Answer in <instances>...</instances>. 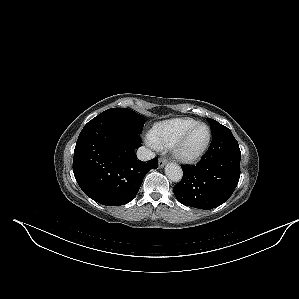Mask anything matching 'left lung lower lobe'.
<instances>
[{"mask_svg":"<svg viewBox=\"0 0 299 299\" xmlns=\"http://www.w3.org/2000/svg\"><path fill=\"white\" fill-rule=\"evenodd\" d=\"M210 148L196 166H182L183 178L173 191L185 206L210 210L226 202L240 178L241 152L225 127L213 134Z\"/></svg>","mask_w":299,"mask_h":299,"instance_id":"left-lung-lower-lobe-1","label":"left lung lower lobe"}]
</instances>
